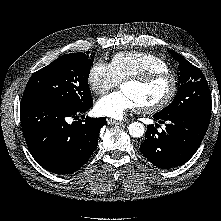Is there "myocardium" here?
Masks as SVG:
<instances>
[{"instance_id": "f54148a6", "label": "myocardium", "mask_w": 221, "mask_h": 221, "mask_svg": "<svg viewBox=\"0 0 221 221\" xmlns=\"http://www.w3.org/2000/svg\"><path fill=\"white\" fill-rule=\"evenodd\" d=\"M159 79H168L170 82V89L168 94L158 103L150 106H140L139 110L144 113L153 114L165 109L175 98L178 92V78L169 70L150 71L140 75L128 77L123 80L125 83H135L139 85H147Z\"/></svg>"}]
</instances>
